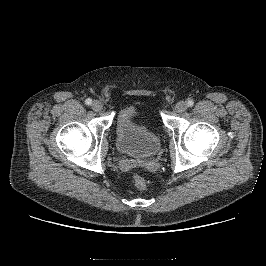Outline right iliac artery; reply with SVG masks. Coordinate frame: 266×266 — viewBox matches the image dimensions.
<instances>
[{
  "label": "right iliac artery",
  "instance_id": "82829eb1",
  "mask_svg": "<svg viewBox=\"0 0 266 266\" xmlns=\"http://www.w3.org/2000/svg\"><path fill=\"white\" fill-rule=\"evenodd\" d=\"M85 103H86L87 105H91V104H92V100H91L90 98H88V99H86Z\"/></svg>",
  "mask_w": 266,
  "mask_h": 266
}]
</instances>
